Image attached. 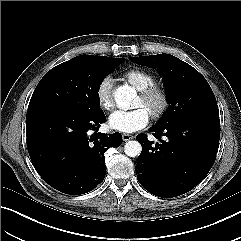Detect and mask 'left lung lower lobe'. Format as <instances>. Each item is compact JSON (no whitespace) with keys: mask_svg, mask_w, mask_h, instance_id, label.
<instances>
[{"mask_svg":"<svg viewBox=\"0 0 241 241\" xmlns=\"http://www.w3.org/2000/svg\"><path fill=\"white\" fill-rule=\"evenodd\" d=\"M160 141L145 134L136 139L142 152L136 165L137 179L150 193L172 198L196 187L213 166L219 147L220 120L187 118L150 129ZM166 136V141L160 140Z\"/></svg>","mask_w":241,"mask_h":241,"instance_id":"1","label":"left lung lower lobe"}]
</instances>
